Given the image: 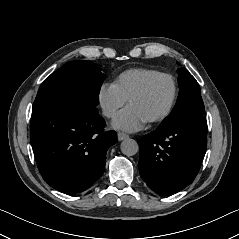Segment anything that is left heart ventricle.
I'll list each match as a JSON object with an SVG mask.
<instances>
[{
  "label": "left heart ventricle",
  "instance_id": "1",
  "mask_svg": "<svg viewBox=\"0 0 239 239\" xmlns=\"http://www.w3.org/2000/svg\"><path fill=\"white\" fill-rule=\"evenodd\" d=\"M171 97V84L162 78L153 82L146 92L133 100L129 106L133 107L144 119L148 120L162 112Z\"/></svg>",
  "mask_w": 239,
  "mask_h": 239
}]
</instances>
